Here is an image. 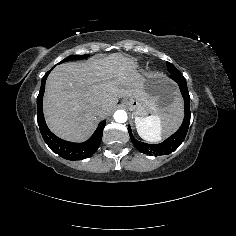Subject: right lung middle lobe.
Listing matches in <instances>:
<instances>
[{
  "mask_svg": "<svg viewBox=\"0 0 236 236\" xmlns=\"http://www.w3.org/2000/svg\"><path fill=\"white\" fill-rule=\"evenodd\" d=\"M87 57H88V55H82V56H80V55H73V56H69V57L65 58L60 63L65 62V61H70V60H81V59H85Z\"/></svg>",
  "mask_w": 236,
  "mask_h": 236,
  "instance_id": "1",
  "label": "right lung middle lobe"
}]
</instances>
